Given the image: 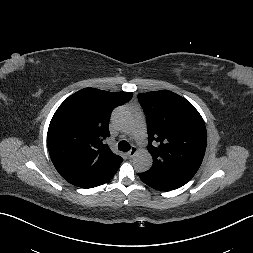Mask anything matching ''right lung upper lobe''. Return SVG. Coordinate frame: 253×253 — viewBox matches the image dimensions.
<instances>
[{
  "label": "right lung upper lobe",
  "instance_id": "1",
  "mask_svg": "<svg viewBox=\"0 0 253 253\" xmlns=\"http://www.w3.org/2000/svg\"><path fill=\"white\" fill-rule=\"evenodd\" d=\"M132 95L85 88L59 106L49 125L47 143L51 160L66 181L93 188L115 175L123 159L104 139L110 136L111 111Z\"/></svg>",
  "mask_w": 253,
  "mask_h": 253
}]
</instances>
